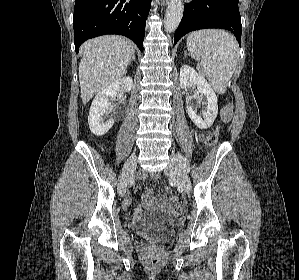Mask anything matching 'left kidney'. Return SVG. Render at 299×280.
<instances>
[{"label": "left kidney", "mask_w": 299, "mask_h": 280, "mask_svg": "<svg viewBox=\"0 0 299 280\" xmlns=\"http://www.w3.org/2000/svg\"><path fill=\"white\" fill-rule=\"evenodd\" d=\"M193 84L197 85V90L200 94L206 96L207 111L204 114V119L196 114L193 110V96H188L186 98V111L190 119L198 128L207 129L212 126L218 113L217 96L210 84L201 74H198L192 67L183 65L180 69L181 88H186Z\"/></svg>", "instance_id": "obj_1"}]
</instances>
